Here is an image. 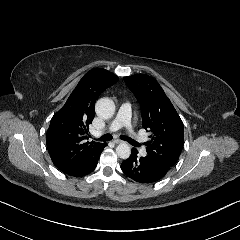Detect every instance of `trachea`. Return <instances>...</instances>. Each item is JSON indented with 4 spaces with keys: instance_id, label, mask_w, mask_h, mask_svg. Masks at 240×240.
<instances>
[{
    "instance_id": "1",
    "label": "trachea",
    "mask_w": 240,
    "mask_h": 240,
    "mask_svg": "<svg viewBox=\"0 0 240 240\" xmlns=\"http://www.w3.org/2000/svg\"><path fill=\"white\" fill-rule=\"evenodd\" d=\"M120 138L124 141H127L128 143H130L133 146H138L137 142H135L133 139H131L125 135H120ZM95 140L103 141V142L110 141V140H112V134H110V133L104 134L100 138H95Z\"/></svg>"
}]
</instances>
